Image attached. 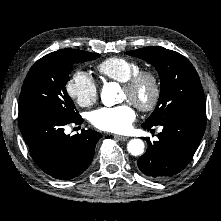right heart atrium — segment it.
<instances>
[{"mask_svg": "<svg viewBox=\"0 0 221 221\" xmlns=\"http://www.w3.org/2000/svg\"><path fill=\"white\" fill-rule=\"evenodd\" d=\"M67 94L81 107H90L98 99V85L90 74L77 70L65 85Z\"/></svg>", "mask_w": 221, "mask_h": 221, "instance_id": "d8ad5b80", "label": "right heart atrium"}]
</instances>
